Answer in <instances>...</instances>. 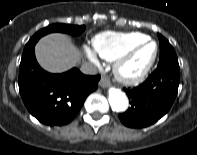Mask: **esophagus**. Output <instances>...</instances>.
I'll use <instances>...</instances> for the list:
<instances>
[{"instance_id":"1","label":"esophagus","mask_w":197,"mask_h":155,"mask_svg":"<svg viewBox=\"0 0 197 155\" xmlns=\"http://www.w3.org/2000/svg\"><path fill=\"white\" fill-rule=\"evenodd\" d=\"M99 85L102 87V88H107L110 86V80L109 78H107L106 76H102L100 81H99Z\"/></svg>"}]
</instances>
